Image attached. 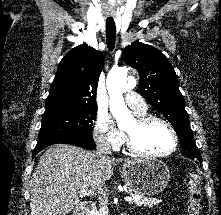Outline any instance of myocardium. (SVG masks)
Masks as SVG:
<instances>
[{"mask_svg": "<svg viewBox=\"0 0 221 215\" xmlns=\"http://www.w3.org/2000/svg\"><path fill=\"white\" fill-rule=\"evenodd\" d=\"M160 122L162 124H164L167 129L169 130V132L171 133L172 139H173V145L171 147L170 150H168L167 152H163V153H148L145 152L143 150H141L135 143L133 137L126 132V143H127V147L130 150V152H132L133 154L140 156V157H144V158H163V157H167L171 154H173L177 148H178V144H179V139H178V135L176 130L174 129V127L172 126V124L167 121L166 119L160 117V116H156V115H139L136 118V122L138 124L139 127H143L146 126L147 124L151 123V122Z\"/></svg>", "mask_w": 221, "mask_h": 215, "instance_id": "1", "label": "myocardium"}]
</instances>
